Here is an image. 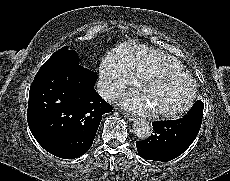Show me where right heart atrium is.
<instances>
[{
  "instance_id": "right-heart-atrium-1",
  "label": "right heart atrium",
  "mask_w": 230,
  "mask_h": 181,
  "mask_svg": "<svg viewBox=\"0 0 230 181\" xmlns=\"http://www.w3.org/2000/svg\"><path fill=\"white\" fill-rule=\"evenodd\" d=\"M99 75L100 88L108 98H115L136 82L130 70L112 65L108 57L102 61Z\"/></svg>"
}]
</instances>
